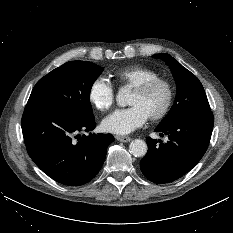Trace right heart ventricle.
Wrapping results in <instances>:
<instances>
[{
  "label": "right heart ventricle",
  "instance_id": "obj_1",
  "mask_svg": "<svg viewBox=\"0 0 233 233\" xmlns=\"http://www.w3.org/2000/svg\"><path fill=\"white\" fill-rule=\"evenodd\" d=\"M113 77L117 84L134 88L146 81L158 78L160 75L149 67L134 65L116 71Z\"/></svg>",
  "mask_w": 233,
  "mask_h": 233
}]
</instances>
